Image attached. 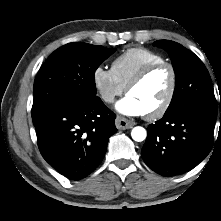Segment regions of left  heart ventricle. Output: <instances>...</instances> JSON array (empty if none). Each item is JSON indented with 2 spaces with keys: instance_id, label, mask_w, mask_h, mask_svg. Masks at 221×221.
Returning a JSON list of instances; mask_svg holds the SVG:
<instances>
[{
  "instance_id": "obj_1",
  "label": "left heart ventricle",
  "mask_w": 221,
  "mask_h": 221,
  "mask_svg": "<svg viewBox=\"0 0 221 221\" xmlns=\"http://www.w3.org/2000/svg\"><path fill=\"white\" fill-rule=\"evenodd\" d=\"M171 75L166 67L152 72L142 83L128 94L135 97L143 106L145 113L155 110L165 99L170 87Z\"/></svg>"
}]
</instances>
